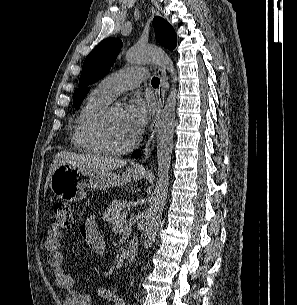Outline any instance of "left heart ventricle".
I'll return each instance as SVG.
<instances>
[{
	"label": "left heart ventricle",
	"instance_id": "1",
	"mask_svg": "<svg viewBox=\"0 0 297 305\" xmlns=\"http://www.w3.org/2000/svg\"><path fill=\"white\" fill-rule=\"evenodd\" d=\"M105 133L109 143L121 147L129 143L134 137L127 129L123 120V110L113 108L106 122Z\"/></svg>",
	"mask_w": 297,
	"mask_h": 305
}]
</instances>
